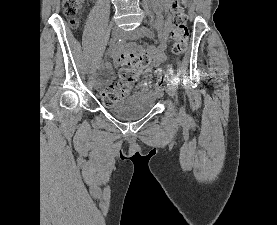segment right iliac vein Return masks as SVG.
Segmentation results:
<instances>
[{
    "instance_id": "right-iliac-vein-1",
    "label": "right iliac vein",
    "mask_w": 277,
    "mask_h": 225,
    "mask_svg": "<svg viewBox=\"0 0 277 225\" xmlns=\"http://www.w3.org/2000/svg\"><path fill=\"white\" fill-rule=\"evenodd\" d=\"M123 35H124L123 31L120 30L119 28H114L112 30V40H119L120 38H123ZM93 86H94V89L97 90L99 87V82L95 81Z\"/></svg>"
}]
</instances>
